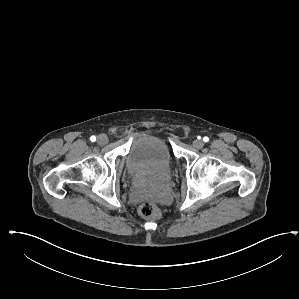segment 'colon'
<instances>
[{"label":"colon","mask_w":299,"mask_h":299,"mask_svg":"<svg viewBox=\"0 0 299 299\" xmlns=\"http://www.w3.org/2000/svg\"><path fill=\"white\" fill-rule=\"evenodd\" d=\"M139 215L148 220H156L161 217L160 209L151 202H143L138 207Z\"/></svg>","instance_id":"5ec220e1"}]
</instances>
